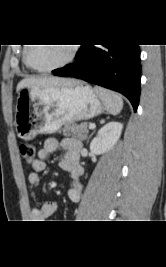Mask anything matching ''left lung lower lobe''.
<instances>
[{
    "label": "left lung lower lobe",
    "mask_w": 166,
    "mask_h": 267,
    "mask_svg": "<svg viewBox=\"0 0 166 267\" xmlns=\"http://www.w3.org/2000/svg\"><path fill=\"white\" fill-rule=\"evenodd\" d=\"M77 60L54 75L75 77L125 95L137 110L140 96L139 45H82Z\"/></svg>",
    "instance_id": "obj_1"
}]
</instances>
